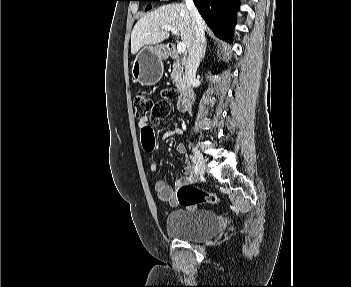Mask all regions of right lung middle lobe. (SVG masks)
Instances as JSON below:
<instances>
[{
    "instance_id": "dd1d6c3e",
    "label": "right lung middle lobe",
    "mask_w": 351,
    "mask_h": 287,
    "mask_svg": "<svg viewBox=\"0 0 351 287\" xmlns=\"http://www.w3.org/2000/svg\"><path fill=\"white\" fill-rule=\"evenodd\" d=\"M135 1H155V0H135ZM151 9V5H148L146 10H149Z\"/></svg>"
}]
</instances>
